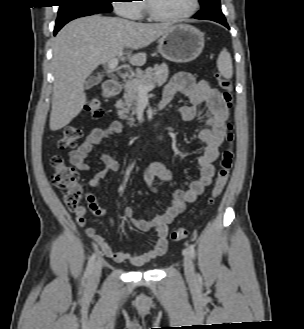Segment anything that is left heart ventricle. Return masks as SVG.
Here are the masks:
<instances>
[{"label":"left heart ventricle","instance_id":"1","mask_svg":"<svg viewBox=\"0 0 304 329\" xmlns=\"http://www.w3.org/2000/svg\"><path fill=\"white\" fill-rule=\"evenodd\" d=\"M193 0H151L158 13L167 16L180 15L190 10Z\"/></svg>","mask_w":304,"mask_h":329}]
</instances>
